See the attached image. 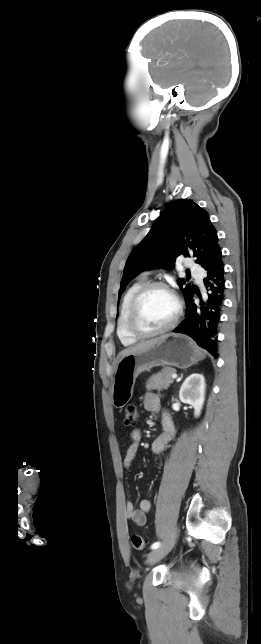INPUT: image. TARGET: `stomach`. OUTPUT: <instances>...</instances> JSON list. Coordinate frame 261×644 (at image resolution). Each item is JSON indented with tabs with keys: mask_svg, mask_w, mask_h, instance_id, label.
<instances>
[{
	"mask_svg": "<svg viewBox=\"0 0 261 644\" xmlns=\"http://www.w3.org/2000/svg\"><path fill=\"white\" fill-rule=\"evenodd\" d=\"M205 357L191 338L168 334L150 348L123 357L117 364L112 385V403L124 407L132 398L138 375L153 367L173 366L186 369Z\"/></svg>",
	"mask_w": 261,
	"mask_h": 644,
	"instance_id": "1",
	"label": "stomach"
}]
</instances>
